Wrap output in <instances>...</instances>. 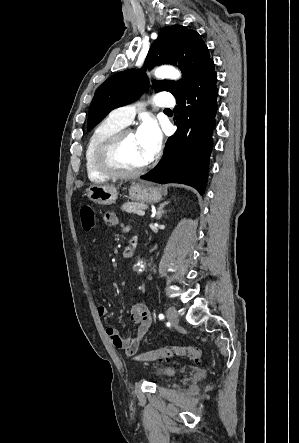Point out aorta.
<instances>
[{
	"label": "aorta",
	"instance_id": "obj_1",
	"mask_svg": "<svg viewBox=\"0 0 299 443\" xmlns=\"http://www.w3.org/2000/svg\"><path fill=\"white\" fill-rule=\"evenodd\" d=\"M155 77L158 79H173L177 80L181 77V73L171 66H161L155 70Z\"/></svg>",
	"mask_w": 299,
	"mask_h": 443
}]
</instances>
